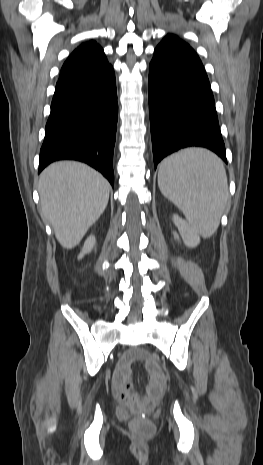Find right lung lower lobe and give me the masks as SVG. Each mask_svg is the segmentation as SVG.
<instances>
[{"mask_svg": "<svg viewBox=\"0 0 263 465\" xmlns=\"http://www.w3.org/2000/svg\"><path fill=\"white\" fill-rule=\"evenodd\" d=\"M117 117L116 79L111 65L101 72L59 80L38 172L53 161L78 160L100 171L114 186Z\"/></svg>", "mask_w": 263, "mask_h": 465, "instance_id": "98d812e1", "label": "right lung lower lobe"}]
</instances>
